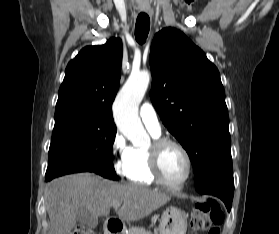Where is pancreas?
Segmentation results:
<instances>
[{"mask_svg": "<svg viewBox=\"0 0 279 234\" xmlns=\"http://www.w3.org/2000/svg\"><path fill=\"white\" fill-rule=\"evenodd\" d=\"M126 234H152V233L146 231L142 227H131V228L128 229Z\"/></svg>", "mask_w": 279, "mask_h": 234, "instance_id": "pancreas-1", "label": "pancreas"}]
</instances>
